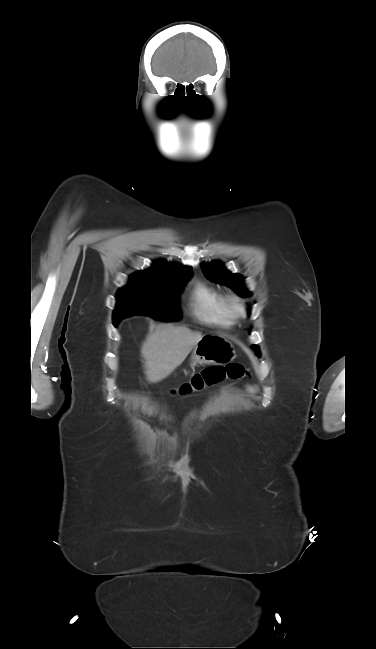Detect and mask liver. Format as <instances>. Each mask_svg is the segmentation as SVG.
Instances as JSON below:
<instances>
[{
	"instance_id": "liver-1",
	"label": "liver",
	"mask_w": 376,
	"mask_h": 649,
	"mask_svg": "<svg viewBox=\"0 0 376 649\" xmlns=\"http://www.w3.org/2000/svg\"><path fill=\"white\" fill-rule=\"evenodd\" d=\"M202 337L201 332L186 327L159 325L147 336L141 348L147 381L156 383L169 376Z\"/></svg>"
}]
</instances>
